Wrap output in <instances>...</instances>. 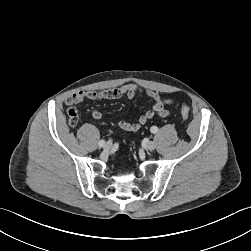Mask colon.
<instances>
[{
    "mask_svg": "<svg viewBox=\"0 0 251 251\" xmlns=\"http://www.w3.org/2000/svg\"><path fill=\"white\" fill-rule=\"evenodd\" d=\"M181 115L184 119L188 120L189 117H190V109L187 105H182L181 107ZM68 114H69V119H68V123L70 125H75L76 122H77V112L75 109H70L68 111Z\"/></svg>",
    "mask_w": 251,
    "mask_h": 251,
    "instance_id": "1",
    "label": "colon"
}]
</instances>
